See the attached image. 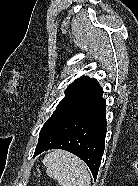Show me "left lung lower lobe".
Instances as JSON below:
<instances>
[{"label": "left lung lower lobe", "instance_id": "left-lung-lower-lobe-1", "mask_svg": "<svg viewBox=\"0 0 138 186\" xmlns=\"http://www.w3.org/2000/svg\"><path fill=\"white\" fill-rule=\"evenodd\" d=\"M99 86L74 108L60 117L40 137L34 156L63 149L80 157L96 179L106 136V100Z\"/></svg>", "mask_w": 138, "mask_h": 186}]
</instances>
